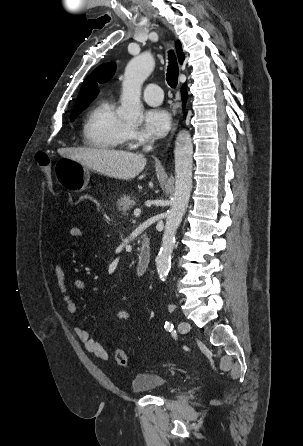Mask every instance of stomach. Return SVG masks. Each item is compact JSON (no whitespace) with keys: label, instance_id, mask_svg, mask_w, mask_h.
Instances as JSON below:
<instances>
[{"label":"stomach","instance_id":"obj_1","mask_svg":"<svg viewBox=\"0 0 303 446\" xmlns=\"http://www.w3.org/2000/svg\"><path fill=\"white\" fill-rule=\"evenodd\" d=\"M58 183L72 192L83 191L90 179V168L70 158H60L54 167Z\"/></svg>","mask_w":303,"mask_h":446}]
</instances>
